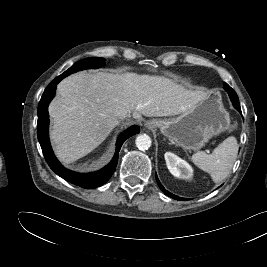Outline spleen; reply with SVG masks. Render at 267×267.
Returning <instances> with one entry per match:
<instances>
[{
	"label": "spleen",
	"mask_w": 267,
	"mask_h": 267,
	"mask_svg": "<svg viewBox=\"0 0 267 267\" xmlns=\"http://www.w3.org/2000/svg\"><path fill=\"white\" fill-rule=\"evenodd\" d=\"M237 153V140L231 136L220 143L211 154L200 151L193 154L191 159L198 168L209 173L215 183H219L230 174Z\"/></svg>",
	"instance_id": "3e777b00"
}]
</instances>
